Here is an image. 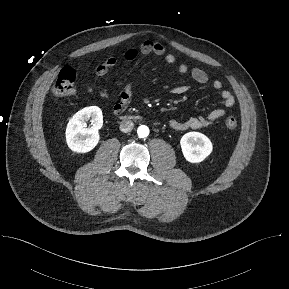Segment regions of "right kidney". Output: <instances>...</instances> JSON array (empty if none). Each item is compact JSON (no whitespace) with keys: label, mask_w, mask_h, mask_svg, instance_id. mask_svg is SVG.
Segmentation results:
<instances>
[{"label":"right kidney","mask_w":289,"mask_h":289,"mask_svg":"<svg viewBox=\"0 0 289 289\" xmlns=\"http://www.w3.org/2000/svg\"><path fill=\"white\" fill-rule=\"evenodd\" d=\"M91 121V128L86 122ZM103 125L102 111L97 106H90L78 111L70 119L66 128L68 147L76 153H87L96 147L100 136L98 130Z\"/></svg>","instance_id":"right-kidney-1"}]
</instances>
